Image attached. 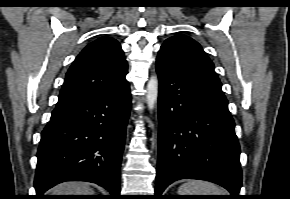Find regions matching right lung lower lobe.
<instances>
[{"instance_id": "1", "label": "right lung lower lobe", "mask_w": 290, "mask_h": 199, "mask_svg": "<svg viewBox=\"0 0 290 199\" xmlns=\"http://www.w3.org/2000/svg\"><path fill=\"white\" fill-rule=\"evenodd\" d=\"M129 84L95 98L57 106L41 133L35 199L64 181H87L120 197V164L130 114Z\"/></svg>"}]
</instances>
